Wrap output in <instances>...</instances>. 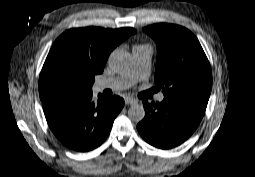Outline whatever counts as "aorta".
<instances>
[{
  "label": "aorta",
  "mask_w": 255,
  "mask_h": 177,
  "mask_svg": "<svg viewBox=\"0 0 255 177\" xmlns=\"http://www.w3.org/2000/svg\"><path fill=\"white\" fill-rule=\"evenodd\" d=\"M131 62V54L123 49L114 50L108 59L110 68L117 73L129 69ZM128 117L131 121L136 123L142 121L145 117L144 107L140 104H133L128 110Z\"/></svg>",
  "instance_id": "1"
}]
</instances>
